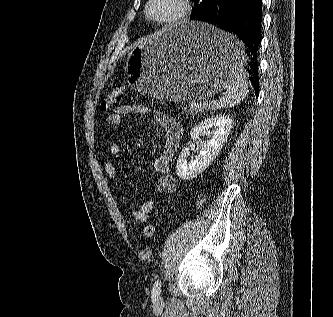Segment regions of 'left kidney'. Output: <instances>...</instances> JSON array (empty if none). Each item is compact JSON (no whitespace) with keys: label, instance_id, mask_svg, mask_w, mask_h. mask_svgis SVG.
I'll return each instance as SVG.
<instances>
[{"label":"left kidney","instance_id":"1","mask_svg":"<svg viewBox=\"0 0 333 317\" xmlns=\"http://www.w3.org/2000/svg\"><path fill=\"white\" fill-rule=\"evenodd\" d=\"M233 124L232 117L220 115L205 119L191 130L190 135L193 140L201 134H208L209 140L201 144L200 153L195 156L194 160H187L190 154L191 142L182 149L176 164V174L181 180L196 177L213 162L226 142Z\"/></svg>","mask_w":333,"mask_h":317}]
</instances>
